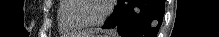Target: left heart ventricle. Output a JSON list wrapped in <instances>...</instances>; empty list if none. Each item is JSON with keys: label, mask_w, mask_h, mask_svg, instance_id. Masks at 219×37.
I'll use <instances>...</instances> for the list:
<instances>
[{"label": "left heart ventricle", "mask_w": 219, "mask_h": 37, "mask_svg": "<svg viewBox=\"0 0 219 37\" xmlns=\"http://www.w3.org/2000/svg\"><path fill=\"white\" fill-rule=\"evenodd\" d=\"M79 5L80 8L76 15L86 21L98 19L105 9V1L103 0H81Z\"/></svg>", "instance_id": "left-heart-ventricle-1"}]
</instances>
